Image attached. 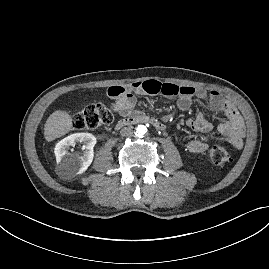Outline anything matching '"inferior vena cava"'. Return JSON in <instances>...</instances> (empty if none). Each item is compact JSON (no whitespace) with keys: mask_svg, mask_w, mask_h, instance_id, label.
<instances>
[{"mask_svg":"<svg viewBox=\"0 0 269 269\" xmlns=\"http://www.w3.org/2000/svg\"><path fill=\"white\" fill-rule=\"evenodd\" d=\"M120 134L122 136H131L133 135V128L131 126H128V127H123L121 130H120Z\"/></svg>","mask_w":269,"mask_h":269,"instance_id":"1","label":"inferior vena cava"}]
</instances>
